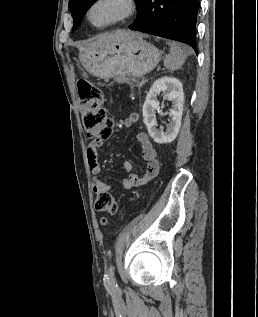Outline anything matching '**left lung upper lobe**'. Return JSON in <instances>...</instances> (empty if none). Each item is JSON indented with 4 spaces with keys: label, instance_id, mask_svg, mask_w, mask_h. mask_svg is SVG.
<instances>
[{
    "label": "left lung upper lobe",
    "instance_id": "1",
    "mask_svg": "<svg viewBox=\"0 0 258 317\" xmlns=\"http://www.w3.org/2000/svg\"><path fill=\"white\" fill-rule=\"evenodd\" d=\"M96 0H70L69 2V10L73 17V31H75L81 24L82 19L87 12V10L91 7V5ZM137 3V10L139 6L144 0H135Z\"/></svg>",
    "mask_w": 258,
    "mask_h": 317
}]
</instances>
